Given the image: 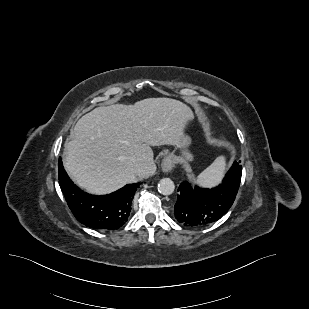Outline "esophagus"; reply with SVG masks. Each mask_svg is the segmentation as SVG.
Listing matches in <instances>:
<instances>
[{"mask_svg":"<svg viewBox=\"0 0 309 309\" xmlns=\"http://www.w3.org/2000/svg\"><path fill=\"white\" fill-rule=\"evenodd\" d=\"M162 171L167 173L174 167V161L171 156H166L161 163Z\"/></svg>","mask_w":309,"mask_h":309,"instance_id":"esophagus-1","label":"esophagus"}]
</instances>
